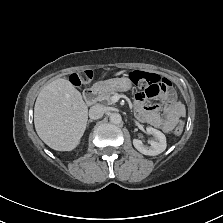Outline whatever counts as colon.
<instances>
[{"mask_svg":"<svg viewBox=\"0 0 223 223\" xmlns=\"http://www.w3.org/2000/svg\"><path fill=\"white\" fill-rule=\"evenodd\" d=\"M92 76L91 71H81L72 74L70 76V81L76 86L87 85L91 82ZM130 79L135 85L151 89L153 93H157L159 90L164 89V86L166 85L164 78H161L157 74L143 71H133L130 74ZM183 128L184 124L180 121L175 126L173 133L179 135L182 133Z\"/></svg>","mask_w":223,"mask_h":223,"instance_id":"5ec220e1","label":"colon"}]
</instances>
